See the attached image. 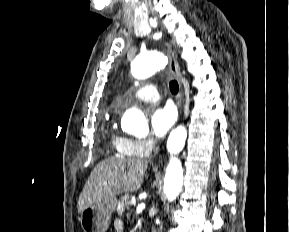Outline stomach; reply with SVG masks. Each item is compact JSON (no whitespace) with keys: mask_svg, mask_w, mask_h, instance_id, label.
<instances>
[{"mask_svg":"<svg viewBox=\"0 0 289 232\" xmlns=\"http://www.w3.org/2000/svg\"><path fill=\"white\" fill-rule=\"evenodd\" d=\"M116 205L117 199L114 197L85 208L79 218L83 231L106 232Z\"/></svg>","mask_w":289,"mask_h":232,"instance_id":"obj_1","label":"stomach"}]
</instances>
